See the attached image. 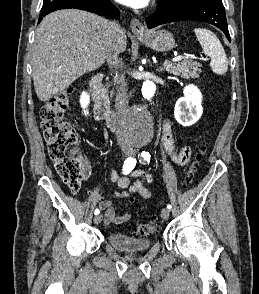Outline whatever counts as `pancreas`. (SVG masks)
<instances>
[{"mask_svg":"<svg viewBox=\"0 0 259 294\" xmlns=\"http://www.w3.org/2000/svg\"><path fill=\"white\" fill-rule=\"evenodd\" d=\"M201 64L191 60H185L178 64L167 63L165 70L175 76H181L184 79L198 78L201 73Z\"/></svg>","mask_w":259,"mask_h":294,"instance_id":"cf45deb5","label":"pancreas"}]
</instances>
